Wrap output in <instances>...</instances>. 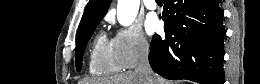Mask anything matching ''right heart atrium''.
<instances>
[{"label": "right heart atrium", "mask_w": 260, "mask_h": 84, "mask_svg": "<svg viewBox=\"0 0 260 84\" xmlns=\"http://www.w3.org/2000/svg\"><path fill=\"white\" fill-rule=\"evenodd\" d=\"M115 59L121 68L133 67L137 62L147 58L150 44L138 25L118 28L112 38Z\"/></svg>", "instance_id": "right-heart-atrium-1"}]
</instances>
